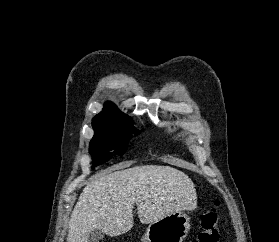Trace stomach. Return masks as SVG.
Returning a JSON list of instances; mask_svg holds the SVG:
<instances>
[{
    "label": "stomach",
    "instance_id": "stomach-1",
    "mask_svg": "<svg viewBox=\"0 0 279 242\" xmlns=\"http://www.w3.org/2000/svg\"><path fill=\"white\" fill-rule=\"evenodd\" d=\"M190 227V217L186 213L172 212L150 223L142 240L144 242H183Z\"/></svg>",
    "mask_w": 279,
    "mask_h": 242
}]
</instances>
